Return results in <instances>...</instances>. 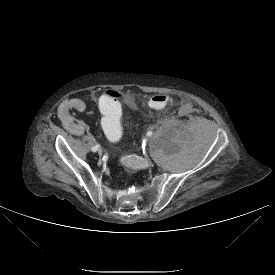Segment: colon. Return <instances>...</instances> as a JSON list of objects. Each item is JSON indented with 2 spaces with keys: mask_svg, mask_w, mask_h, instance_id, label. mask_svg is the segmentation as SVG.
Instances as JSON below:
<instances>
[{
  "mask_svg": "<svg viewBox=\"0 0 275 275\" xmlns=\"http://www.w3.org/2000/svg\"><path fill=\"white\" fill-rule=\"evenodd\" d=\"M122 94L115 91L101 92L97 96V104L104 119L101 121V128L107 137L114 141L120 136L121 128L119 123V100ZM174 103L172 97L167 95H154L149 99V106L153 109H163Z\"/></svg>",
  "mask_w": 275,
  "mask_h": 275,
  "instance_id": "colon-1",
  "label": "colon"
}]
</instances>
